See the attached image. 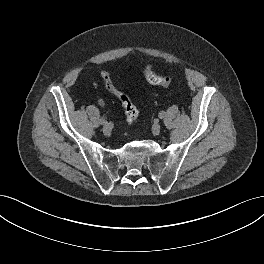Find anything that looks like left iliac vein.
Here are the masks:
<instances>
[{"instance_id":"4c4485c4","label":"left iliac vein","mask_w":264,"mask_h":264,"mask_svg":"<svg viewBox=\"0 0 264 264\" xmlns=\"http://www.w3.org/2000/svg\"><path fill=\"white\" fill-rule=\"evenodd\" d=\"M160 130H161V126L160 124L158 123H155L153 126H152V132L154 135H158L160 133Z\"/></svg>"}]
</instances>
